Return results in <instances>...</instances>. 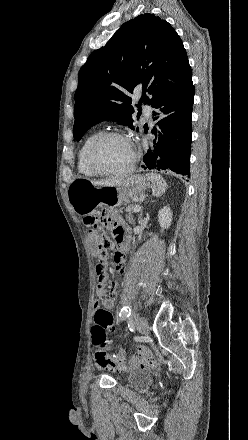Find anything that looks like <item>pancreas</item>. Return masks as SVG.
<instances>
[{"label":"pancreas","instance_id":"cf45deb5","mask_svg":"<svg viewBox=\"0 0 248 440\" xmlns=\"http://www.w3.org/2000/svg\"><path fill=\"white\" fill-rule=\"evenodd\" d=\"M126 219L128 220L129 223L135 224V220H134V217H133V210L132 209L128 210V215L126 216Z\"/></svg>","mask_w":248,"mask_h":440}]
</instances>
